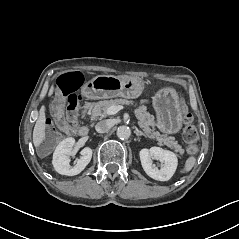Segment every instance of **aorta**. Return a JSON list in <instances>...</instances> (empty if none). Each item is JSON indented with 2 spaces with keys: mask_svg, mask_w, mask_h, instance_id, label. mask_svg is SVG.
I'll list each match as a JSON object with an SVG mask.
<instances>
[{
  "mask_svg": "<svg viewBox=\"0 0 239 239\" xmlns=\"http://www.w3.org/2000/svg\"><path fill=\"white\" fill-rule=\"evenodd\" d=\"M116 134L120 139H128L131 135V129L128 126H120L117 128Z\"/></svg>",
  "mask_w": 239,
  "mask_h": 239,
  "instance_id": "1",
  "label": "aorta"
}]
</instances>
